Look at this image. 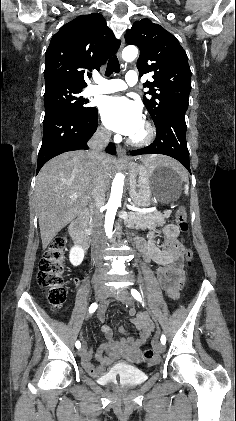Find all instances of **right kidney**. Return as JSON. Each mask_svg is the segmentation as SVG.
<instances>
[{
    "label": "right kidney",
    "instance_id": "1",
    "mask_svg": "<svg viewBox=\"0 0 236 421\" xmlns=\"http://www.w3.org/2000/svg\"><path fill=\"white\" fill-rule=\"evenodd\" d=\"M84 259V251L81 247H72L69 255V261L74 265V267H78L81 265Z\"/></svg>",
    "mask_w": 236,
    "mask_h": 421
}]
</instances>
